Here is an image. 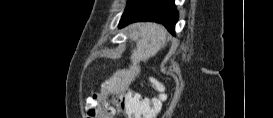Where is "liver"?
<instances>
[{
	"label": "liver",
	"instance_id": "1",
	"mask_svg": "<svg viewBox=\"0 0 273 118\" xmlns=\"http://www.w3.org/2000/svg\"><path fill=\"white\" fill-rule=\"evenodd\" d=\"M131 42L136 43L132 49L131 65L128 69L117 70L113 76L101 86V94H117L126 91L141 72L140 62L147 61L166 46L167 31L155 23H138L129 32Z\"/></svg>",
	"mask_w": 273,
	"mask_h": 118
}]
</instances>
